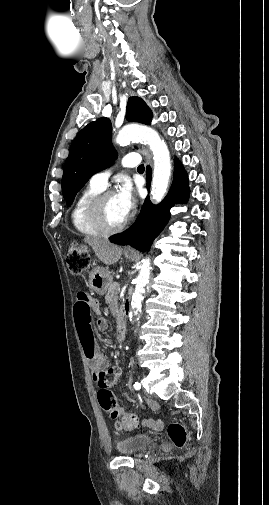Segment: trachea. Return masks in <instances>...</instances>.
<instances>
[{
	"label": "trachea",
	"instance_id": "1",
	"mask_svg": "<svg viewBox=\"0 0 269 505\" xmlns=\"http://www.w3.org/2000/svg\"><path fill=\"white\" fill-rule=\"evenodd\" d=\"M144 169H145V168H144V165H143V164H142V165H140V166L138 167V171H144Z\"/></svg>",
	"mask_w": 269,
	"mask_h": 505
}]
</instances>
